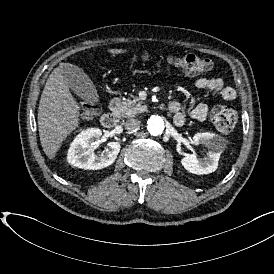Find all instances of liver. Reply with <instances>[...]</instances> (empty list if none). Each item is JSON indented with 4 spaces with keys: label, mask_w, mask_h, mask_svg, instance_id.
Returning <instances> with one entry per match:
<instances>
[{
    "label": "liver",
    "mask_w": 274,
    "mask_h": 274,
    "mask_svg": "<svg viewBox=\"0 0 274 274\" xmlns=\"http://www.w3.org/2000/svg\"><path fill=\"white\" fill-rule=\"evenodd\" d=\"M104 52L121 55L128 49L109 48ZM81 68L74 64L61 63L49 75L38 106V130L45 155L54 160L62 143L80 127V106L73 97L70 84L78 77Z\"/></svg>",
    "instance_id": "liver-1"
}]
</instances>
